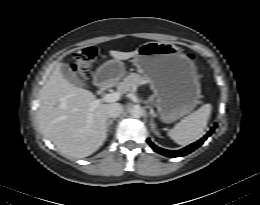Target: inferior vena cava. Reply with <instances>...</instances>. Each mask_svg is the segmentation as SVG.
Returning <instances> with one entry per match:
<instances>
[{"instance_id": "1", "label": "inferior vena cava", "mask_w": 260, "mask_h": 205, "mask_svg": "<svg viewBox=\"0 0 260 205\" xmlns=\"http://www.w3.org/2000/svg\"><path fill=\"white\" fill-rule=\"evenodd\" d=\"M122 110L123 107L119 103L109 104L107 107V116L111 118H116L121 114Z\"/></svg>"}]
</instances>
